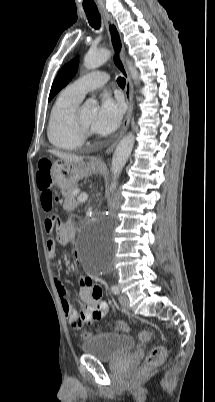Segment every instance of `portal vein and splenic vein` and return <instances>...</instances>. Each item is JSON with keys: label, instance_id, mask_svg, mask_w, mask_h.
<instances>
[{"label": "portal vein and splenic vein", "instance_id": "obj_1", "mask_svg": "<svg viewBox=\"0 0 215 402\" xmlns=\"http://www.w3.org/2000/svg\"><path fill=\"white\" fill-rule=\"evenodd\" d=\"M77 193H78V191L75 190L74 194H77ZM87 198H88V195L86 193H82L78 196L77 200H78V202L82 203V202H85L87 200Z\"/></svg>", "mask_w": 215, "mask_h": 402}]
</instances>
